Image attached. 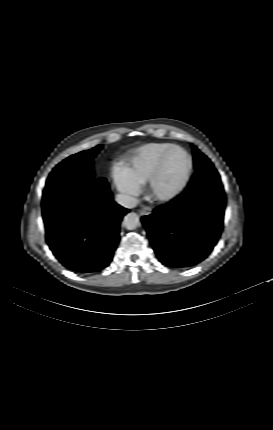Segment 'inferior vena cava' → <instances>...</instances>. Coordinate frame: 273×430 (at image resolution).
Here are the masks:
<instances>
[{
    "label": "inferior vena cava",
    "instance_id": "inferior-vena-cava-1",
    "mask_svg": "<svg viewBox=\"0 0 273 430\" xmlns=\"http://www.w3.org/2000/svg\"><path fill=\"white\" fill-rule=\"evenodd\" d=\"M116 202L125 208H134L137 205V199L127 194H118L115 198Z\"/></svg>",
    "mask_w": 273,
    "mask_h": 430
}]
</instances>
